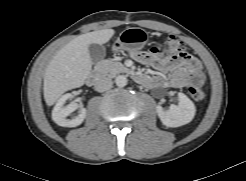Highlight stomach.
I'll return each instance as SVG.
<instances>
[{
  "label": "stomach",
  "mask_w": 246,
  "mask_h": 181,
  "mask_svg": "<svg viewBox=\"0 0 246 181\" xmlns=\"http://www.w3.org/2000/svg\"><path fill=\"white\" fill-rule=\"evenodd\" d=\"M148 40V33L142 28H127L120 33L113 44L114 51H137L142 49Z\"/></svg>",
  "instance_id": "obj_1"
}]
</instances>
